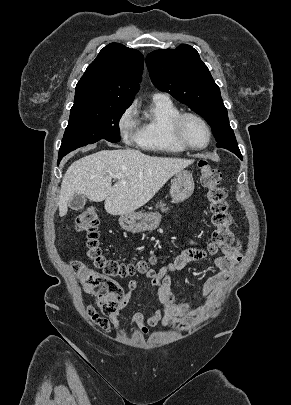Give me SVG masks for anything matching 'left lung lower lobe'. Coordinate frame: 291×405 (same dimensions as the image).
I'll return each instance as SVG.
<instances>
[{"label":"left lung lower lobe","mask_w":291,"mask_h":405,"mask_svg":"<svg viewBox=\"0 0 291 405\" xmlns=\"http://www.w3.org/2000/svg\"><path fill=\"white\" fill-rule=\"evenodd\" d=\"M239 158H241L242 159V155H241V153L240 152H236L235 153Z\"/></svg>","instance_id":"0a47b994"}]
</instances>
